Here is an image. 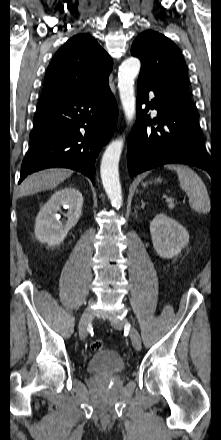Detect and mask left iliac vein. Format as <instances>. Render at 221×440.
Returning a JSON list of instances; mask_svg holds the SVG:
<instances>
[{
	"label": "left iliac vein",
	"mask_w": 221,
	"mask_h": 440,
	"mask_svg": "<svg viewBox=\"0 0 221 440\" xmlns=\"http://www.w3.org/2000/svg\"><path fill=\"white\" fill-rule=\"evenodd\" d=\"M127 322L128 321L126 318H122V319L113 318L111 320L112 326L117 329L123 327ZM130 338H131V341H132L134 348L136 350H140L141 349V337H140L139 332L137 331V329L134 326H131V328H130Z\"/></svg>",
	"instance_id": "left-iliac-vein-1"
}]
</instances>
